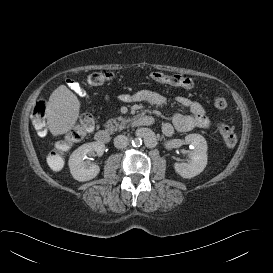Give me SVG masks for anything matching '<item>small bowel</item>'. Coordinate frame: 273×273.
<instances>
[{
    "label": "small bowel",
    "mask_w": 273,
    "mask_h": 273,
    "mask_svg": "<svg viewBox=\"0 0 273 273\" xmlns=\"http://www.w3.org/2000/svg\"><path fill=\"white\" fill-rule=\"evenodd\" d=\"M68 86L79 96L85 97V89L74 80H67ZM189 89V88H186ZM120 100L125 103L145 102L157 106H163L166 98L158 92L150 90H141L135 94H124L120 96ZM177 102L187 108L190 114L175 113L170 122H164L161 126L162 132L166 137H171L177 132H188L195 128H207L210 126V120L206 116L204 107L197 101L187 97H177Z\"/></svg>",
    "instance_id": "c3829d8e"
}]
</instances>
